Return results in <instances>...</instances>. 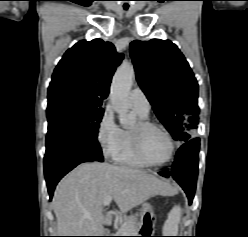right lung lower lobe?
I'll return each instance as SVG.
<instances>
[{"label": "right lung lower lobe", "instance_id": "right-lung-lower-lobe-1", "mask_svg": "<svg viewBox=\"0 0 248 237\" xmlns=\"http://www.w3.org/2000/svg\"><path fill=\"white\" fill-rule=\"evenodd\" d=\"M103 161L97 139L63 133L47 134L44 172L50 199L58 181L83 162Z\"/></svg>", "mask_w": 248, "mask_h": 237}]
</instances>
